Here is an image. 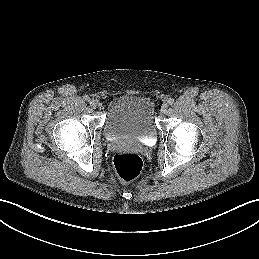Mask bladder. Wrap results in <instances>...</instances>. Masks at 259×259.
Segmentation results:
<instances>
[{"label": "bladder", "mask_w": 259, "mask_h": 259, "mask_svg": "<svg viewBox=\"0 0 259 259\" xmlns=\"http://www.w3.org/2000/svg\"><path fill=\"white\" fill-rule=\"evenodd\" d=\"M103 133L109 140H154L157 136V127L153 101L137 94L114 97L106 108Z\"/></svg>", "instance_id": "1"}]
</instances>
